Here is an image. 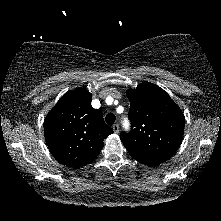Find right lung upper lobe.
<instances>
[{
    "mask_svg": "<svg viewBox=\"0 0 221 221\" xmlns=\"http://www.w3.org/2000/svg\"><path fill=\"white\" fill-rule=\"evenodd\" d=\"M92 94L77 88L64 94L44 121L50 152L63 165L80 168L91 163L113 130L101 111L91 106Z\"/></svg>",
    "mask_w": 221,
    "mask_h": 221,
    "instance_id": "right-lung-upper-lobe-1",
    "label": "right lung upper lobe"
}]
</instances>
